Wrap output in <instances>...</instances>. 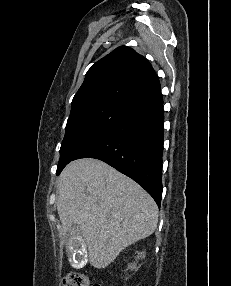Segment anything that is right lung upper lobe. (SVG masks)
I'll list each match as a JSON object with an SVG mask.
<instances>
[{"label":"right lung upper lobe","instance_id":"obj_1","mask_svg":"<svg viewBox=\"0 0 231 286\" xmlns=\"http://www.w3.org/2000/svg\"><path fill=\"white\" fill-rule=\"evenodd\" d=\"M159 85L149 62L133 49L120 46L88 70L72 100L71 113L105 101L132 108Z\"/></svg>","mask_w":231,"mask_h":286}]
</instances>
